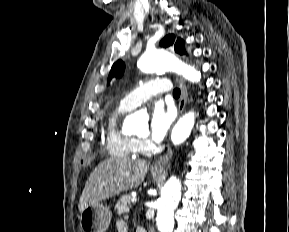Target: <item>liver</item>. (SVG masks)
Here are the masks:
<instances>
[{
    "instance_id": "1",
    "label": "liver",
    "mask_w": 289,
    "mask_h": 232,
    "mask_svg": "<svg viewBox=\"0 0 289 232\" xmlns=\"http://www.w3.org/2000/svg\"><path fill=\"white\" fill-rule=\"evenodd\" d=\"M150 164L144 160L110 158L90 174L79 200L82 212L92 204L137 188L144 180Z\"/></svg>"
}]
</instances>
